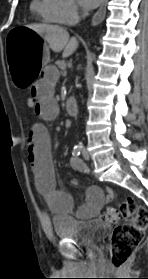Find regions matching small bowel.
<instances>
[{
    "label": "small bowel",
    "mask_w": 148,
    "mask_h": 279,
    "mask_svg": "<svg viewBox=\"0 0 148 279\" xmlns=\"http://www.w3.org/2000/svg\"><path fill=\"white\" fill-rule=\"evenodd\" d=\"M57 80V69L53 66H47L41 70L39 79L30 91L37 100L35 113L44 121H52L59 114V105L53 94ZM27 152L37 188L45 196L54 212H74L78 218H91L97 215L105 203L113 200L114 192L112 189L104 191L97 186H91L86 192L85 203L77 210L74 209L72 196L56 186L50 139L44 125L37 123L31 127ZM70 165L77 172L88 173L86 164L76 157H71Z\"/></svg>",
    "instance_id": "obj_1"
}]
</instances>
